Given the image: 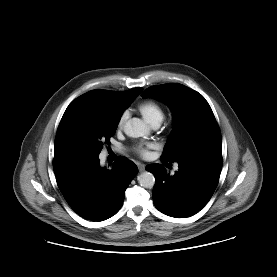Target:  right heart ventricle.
Instances as JSON below:
<instances>
[{
	"label": "right heart ventricle",
	"instance_id": "1",
	"mask_svg": "<svg viewBox=\"0 0 277 277\" xmlns=\"http://www.w3.org/2000/svg\"><path fill=\"white\" fill-rule=\"evenodd\" d=\"M138 111L150 125L160 124L164 119L162 106L153 100L141 102Z\"/></svg>",
	"mask_w": 277,
	"mask_h": 277
}]
</instances>
